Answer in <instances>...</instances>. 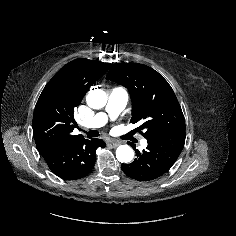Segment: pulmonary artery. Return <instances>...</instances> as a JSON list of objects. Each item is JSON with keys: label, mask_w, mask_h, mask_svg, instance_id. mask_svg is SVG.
Here are the masks:
<instances>
[{"label": "pulmonary artery", "mask_w": 236, "mask_h": 236, "mask_svg": "<svg viewBox=\"0 0 236 236\" xmlns=\"http://www.w3.org/2000/svg\"><path fill=\"white\" fill-rule=\"evenodd\" d=\"M128 99V93L126 89L122 87H114L108 98L106 110L104 112L97 113L90 121L85 123L86 128H98L107 123L108 120H113L118 117L120 112L126 105ZM141 144L147 146L146 140H142Z\"/></svg>", "instance_id": "1"}]
</instances>
